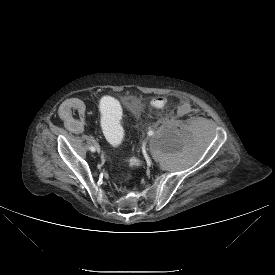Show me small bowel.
Wrapping results in <instances>:
<instances>
[{"mask_svg":"<svg viewBox=\"0 0 275 275\" xmlns=\"http://www.w3.org/2000/svg\"><path fill=\"white\" fill-rule=\"evenodd\" d=\"M74 112L75 116L73 115ZM57 113L71 131L75 133L83 131L85 107L82 102L64 101L61 103Z\"/></svg>","mask_w":275,"mask_h":275,"instance_id":"small-bowel-1","label":"small bowel"}]
</instances>
